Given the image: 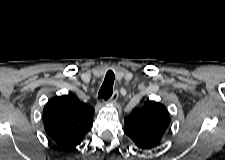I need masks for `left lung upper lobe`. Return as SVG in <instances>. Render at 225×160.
I'll return each mask as SVG.
<instances>
[{"mask_svg": "<svg viewBox=\"0 0 225 160\" xmlns=\"http://www.w3.org/2000/svg\"><path fill=\"white\" fill-rule=\"evenodd\" d=\"M170 118L166 107L148 100L141 109L135 108L125 118L124 132L141 149L158 145L166 132Z\"/></svg>", "mask_w": 225, "mask_h": 160, "instance_id": "obj_1", "label": "left lung upper lobe"}]
</instances>
